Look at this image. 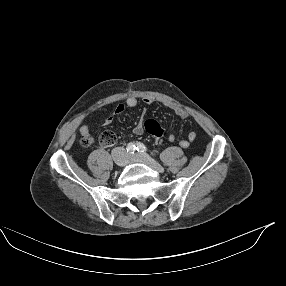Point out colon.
I'll list each match as a JSON object with an SVG mask.
<instances>
[{
  "label": "colon",
  "instance_id": "obj_1",
  "mask_svg": "<svg viewBox=\"0 0 286 286\" xmlns=\"http://www.w3.org/2000/svg\"><path fill=\"white\" fill-rule=\"evenodd\" d=\"M145 130L155 137H161L164 134L162 126L153 119H148L145 122ZM116 142V134L111 130H106L100 135V143L103 146H110ZM89 142L84 139L83 144L87 145Z\"/></svg>",
  "mask_w": 286,
  "mask_h": 286
}]
</instances>
